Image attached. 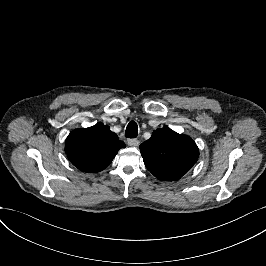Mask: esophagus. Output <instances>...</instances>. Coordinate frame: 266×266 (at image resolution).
I'll return each instance as SVG.
<instances>
[{
	"label": "esophagus",
	"mask_w": 266,
	"mask_h": 266,
	"mask_svg": "<svg viewBox=\"0 0 266 266\" xmlns=\"http://www.w3.org/2000/svg\"><path fill=\"white\" fill-rule=\"evenodd\" d=\"M127 144L129 146H138L139 145V140L137 139H127Z\"/></svg>",
	"instance_id": "obj_1"
}]
</instances>
